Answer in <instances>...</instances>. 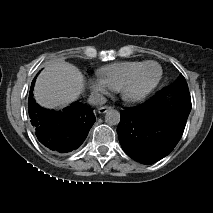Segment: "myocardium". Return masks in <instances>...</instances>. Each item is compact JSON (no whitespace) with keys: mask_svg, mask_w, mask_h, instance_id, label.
<instances>
[{"mask_svg":"<svg viewBox=\"0 0 213 213\" xmlns=\"http://www.w3.org/2000/svg\"><path fill=\"white\" fill-rule=\"evenodd\" d=\"M147 65H154L157 67L158 69V75L156 80L154 81V83L145 91L136 94V95H130L128 93V90L130 88V86L134 83L135 79L137 78L138 74L140 73V71L146 67ZM162 78V69L161 66L155 62V61H145L143 62L139 67H137L131 74L129 77H127L124 82L121 84L120 88H119V94L120 97L123 101L127 102V103H135V102H139L141 100H143L144 98H146L159 84V82L161 81Z\"/></svg>","mask_w":213,"mask_h":213,"instance_id":"myocardium-1","label":"myocardium"}]
</instances>
